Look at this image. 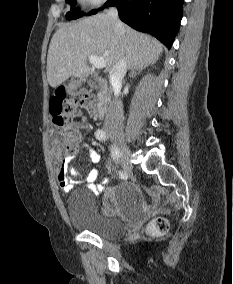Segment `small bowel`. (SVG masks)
<instances>
[{
    "label": "small bowel",
    "instance_id": "c3829d8e",
    "mask_svg": "<svg viewBox=\"0 0 233 284\" xmlns=\"http://www.w3.org/2000/svg\"><path fill=\"white\" fill-rule=\"evenodd\" d=\"M81 150L85 151L88 154L92 163L94 164L99 163L100 155L97 152V150L93 148L91 145L83 144L81 146ZM73 157H74L73 155H69V156H66L61 161L60 169L58 172V183L61 189L65 192H69L70 190H72L75 183H84L89 189H91L95 193H99L103 191L107 183V179H103L100 184L95 185L94 182L96 181L99 175V171L96 168L92 169L88 174H86L82 178H78L75 181L70 180V178L68 177V169H69V163L71 162ZM104 207H105L104 208L105 211H108L109 205L105 204Z\"/></svg>",
    "mask_w": 233,
    "mask_h": 284
}]
</instances>
